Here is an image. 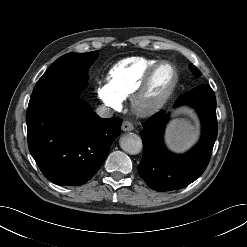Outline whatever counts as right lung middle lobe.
<instances>
[{"label":"right lung middle lobe","mask_w":247,"mask_h":247,"mask_svg":"<svg viewBox=\"0 0 247 247\" xmlns=\"http://www.w3.org/2000/svg\"><path fill=\"white\" fill-rule=\"evenodd\" d=\"M98 51L68 53L58 58L36 83L30 101L51 97H76L87 83L86 70Z\"/></svg>","instance_id":"1"}]
</instances>
